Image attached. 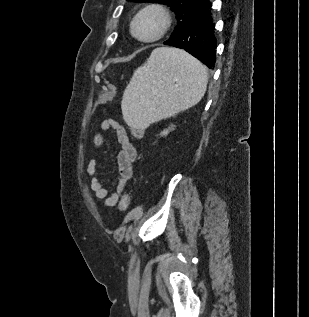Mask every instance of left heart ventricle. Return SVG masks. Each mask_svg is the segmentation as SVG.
<instances>
[{"mask_svg": "<svg viewBox=\"0 0 309 317\" xmlns=\"http://www.w3.org/2000/svg\"><path fill=\"white\" fill-rule=\"evenodd\" d=\"M159 18L154 14L144 15L138 24L139 33L143 37H150L156 33L159 28Z\"/></svg>", "mask_w": 309, "mask_h": 317, "instance_id": "1", "label": "left heart ventricle"}]
</instances>
